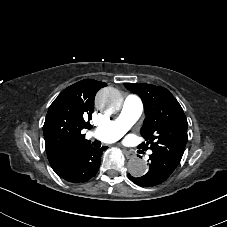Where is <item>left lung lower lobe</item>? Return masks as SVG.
<instances>
[{"mask_svg":"<svg viewBox=\"0 0 227 227\" xmlns=\"http://www.w3.org/2000/svg\"><path fill=\"white\" fill-rule=\"evenodd\" d=\"M149 157L151 163L147 174L139 178H134L128 174L130 180L142 187L155 186L164 182L179 164L161 154L152 153Z\"/></svg>","mask_w":227,"mask_h":227,"instance_id":"left-lung-lower-lobe-1","label":"left lung lower lobe"}]
</instances>
